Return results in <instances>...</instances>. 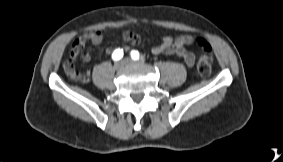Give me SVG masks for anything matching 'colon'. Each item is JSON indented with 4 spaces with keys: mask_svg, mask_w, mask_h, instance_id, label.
<instances>
[{
    "mask_svg": "<svg viewBox=\"0 0 283 162\" xmlns=\"http://www.w3.org/2000/svg\"><path fill=\"white\" fill-rule=\"evenodd\" d=\"M194 42L201 51L198 63L197 71L202 77H208L212 72V56L211 47L209 43L202 37H195ZM72 77L81 82H87L89 80V74L86 72L72 74Z\"/></svg>",
    "mask_w": 283,
    "mask_h": 162,
    "instance_id": "colon-1",
    "label": "colon"
}]
</instances>
